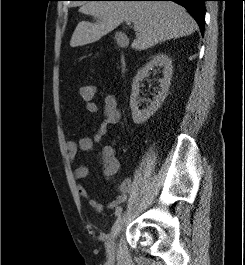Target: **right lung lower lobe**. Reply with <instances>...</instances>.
<instances>
[{"label":"right lung lower lobe","instance_id":"right-lung-lower-lobe-1","mask_svg":"<svg viewBox=\"0 0 245 265\" xmlns=\"http://www.w3.org/2000/svg\"><path fill=\"white\" fill-rule=\"evenodd\" d=\"M122 1H174L185 7L191 16L198 23L201 34L204 33L205 26V4L206 0H122Z\"/></svg>","mask_w":245,"mask_h":265}]
</instances>
